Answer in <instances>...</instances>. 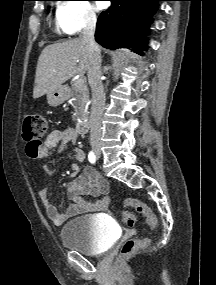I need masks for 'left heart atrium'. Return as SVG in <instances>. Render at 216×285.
Instances as JSON below:
<instances>
[{"instance_id":"left-heart-atrium-1","label":"left heart atrium","mask_w":216,"mask_h":285,"mask_svg":"<svg viewBox=\"0 0 216 285\" xmlns=\"http://www.w3.org/2000/svg\"><path fill=\"white\" fill-rule=\"evenodd\" d=\"M97 6H98L99 9H102V8L105 6V4L102 3V2H99V3L97 4Z\"/></svg>"}]
</instances>
